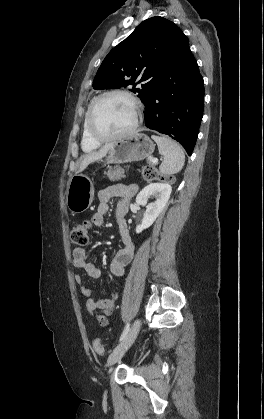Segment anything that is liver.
<instances>
[{"label":"liver","instance_id":"1","mask_svg":"<svg viewBox=\"0 0 264 419\" xmlns=\"http://www.w3.org/2000/svg\"><path fill=\"white\" fill-rule=\"evenodd\" d=\"M113 144H106L104 145L100 150L92 152L90 154H86L83 156L80 167L77 171V173L82 172L85 170V168L92 162H95L97 160H100L101 158L105 157L109 151L112 149Z\"/></svg>","mask_w":264,"mask_h":419}]
</instances>
